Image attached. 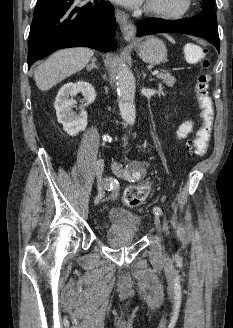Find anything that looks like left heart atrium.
Here are the masks:
<instances>
[{
  "label": "left heart atrium",
  "instance_id": "left-heart-atrium-1",
  "mask_svg": "<svg viewBox=\"0 0 233 328\" xmlns=\"http://www.w3.org/2000/svg\"><path fill=\"white\" fill-rule=\"evenodd\" d=\"M111 1L129 8H137L141 6L143 3L148 2L149 0H111Z\"/></svg>",
  "mask_w": 233,
  "mask_h": 328
}]
</instances>
